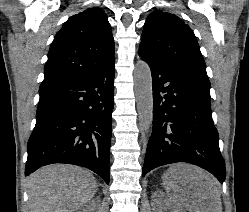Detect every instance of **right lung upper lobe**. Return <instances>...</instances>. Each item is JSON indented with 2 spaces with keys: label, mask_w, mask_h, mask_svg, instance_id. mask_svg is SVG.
<instances>
[{
  "label": "right lung upper lobe",
  "mask_w": 249,
  "mask_h": 212,
  "mask_svg": "<svg viewBox=\"0 0 249 212\" xmlns=\"http://www.w3.org/2000/svg\"><path fill=\"white\" fill-rule=\"evenodd\" d=\"M114 53L104 10L93 7L73 15L51 44L39 91L97 73L115 61Z\"/></svg>",
  "instance_id": "cb5924a9"
}]
</instances>
